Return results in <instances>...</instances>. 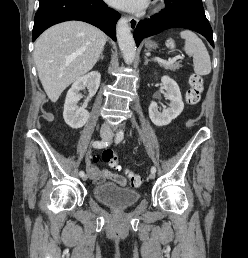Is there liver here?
Returning a JSON list of instances; mask_svg holds the SVG:
<instances>
[{"mask_svg": "<svg viewBox=\"0 0 248 258\" xmlns=\"http://www.w3.org/2000/svg\"><path fill=\"white\" fill-rule=\"evenodd\" d=\"M106 41L104 32L81 21L54 25L40 35L35 43L34 61L52 102L94 67Z\"/></svg>", "mask_w": 248, "mask_h": 258, "instance_id": "liver-1", "label": "liver"}]
</instances>
